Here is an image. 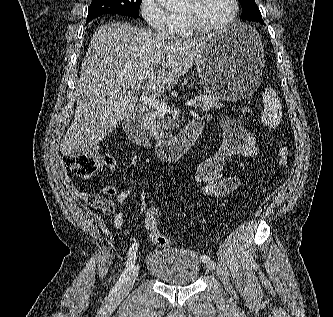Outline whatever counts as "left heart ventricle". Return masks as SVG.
Listing matches in <instances>:
<instances>
[{
	"label": "left heart ventricle",
	"instance_id": "left-heart-ventricle-1",
	"mask_svg": "<svg viewBox=\"0 0 333 317\" xmlns=\"http://www.w3.org/2000/svg\"><path fill=\"white\" fill-rule=\"evenodd\" d=\"M233 9L231 0H197L191 3L184 0L180 11H191L203 26H214L225 21Z\"/></svg>",
	"mask_w": 333,
	"mask_h": 317
}]
</instances>
